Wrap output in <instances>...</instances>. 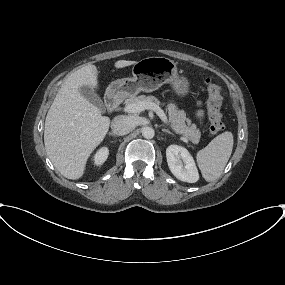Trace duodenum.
<instances>
[{
  "label": "duodenum",
  "mask_w": 285,
  "mask_h": 285,
  "mask_svg": "<svg viewBox=\"0 0 285 285\" xmlns=\"http://www.w3.org/2000/svg\"><path fill=\"white\" fill-rule=\"evenodd\" d=\"M120 104V97L115 93H109L106 97V107L108 111H114Z\"/></svg>",
  "instance_id": "obj_1"
}]
</instances>
